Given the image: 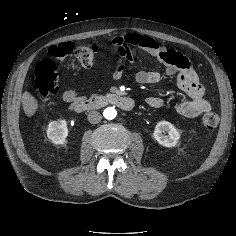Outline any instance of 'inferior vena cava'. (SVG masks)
I'll return each instance as SVG.
<instances>
[{"label": "inferior vena cava", "mask_w": 236, "mask_h": 236, "mask_svg": "<svg viewBox=\"0 0 236 236\" xmlns=\"http://www.w3.org/2000/svg\"><path fill=\"white\" fill-rule=\"evenodd\" d=\"M87 118L91 124H97L101 121L102 115L98 111H91L89 112Z\"/></svg>", "instance_id": "602c4592"}]
</instances>
